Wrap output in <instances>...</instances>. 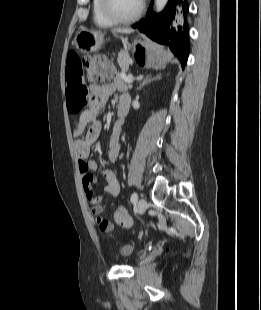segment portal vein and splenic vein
<instances>
[{"instance_id":"1","label":"portal vein and splenic vein","mask_w":261,"mask_h":310,"mask_svg":"<svg viewBox=\"0 0 261 310\" xmlns=\"http://www.w3.org/2000/svg\"><path fill=\"white\" fill-rule=\"evenodd\" d=\"M121 78L124 82L131 84L133 82V78L131 76H127L125 73H121Z\"/></svg>"}]
</instances>
